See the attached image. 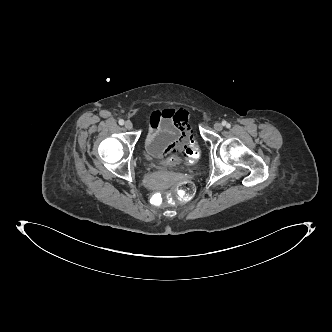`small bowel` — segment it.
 Masks as SVG:
<instances>
[{
    "instance_id": "small-bowel-1",
    "label": "small bowel",
    "mask_w": 332,
    "mask_h": 332,
    "mask_svg": "<svg viewBox=\"0 0 332 332\" xmlns=\"http://www.w3.org/2000/svg\"><path fill=\"white\" fill-rule=\"evenodd\" d=\"M188 111L185 109L163 108L154 110L149 119V130L145 139L150 157L177 158L186 149L191 139L188 125Z\"/></svg>"
}]
</instances>
